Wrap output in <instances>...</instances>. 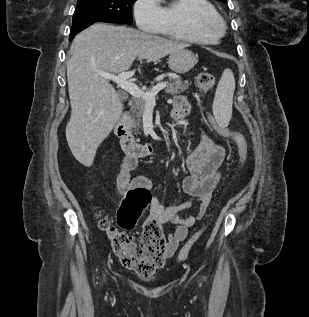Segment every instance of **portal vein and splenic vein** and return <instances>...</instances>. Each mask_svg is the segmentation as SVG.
<instances>
[{
	"instance_id": "18ae733b",
	"label": "portal vein and splenic vein",
	"mask_w": 309,
	"mask_h": 317,
	"mask_svg": "<svg viewBox=\"0 0 309 317\" xmlns=\"http://www.w3.org/2000/svg\"><path fill=\"white\" fill-rule=\"evenodd\" d=\"M100 76L107 80H112L113 82L117 83V85L128 92L130 95L137 99H143L147 105H155V96L165 87H167V83H159L153 87L151 91L144 92L142 91L135 83L129 80L130 77L134 75V71H127L119 73L118 75L105 73V72H98Z\"/></svg>"
}]
</instances>
